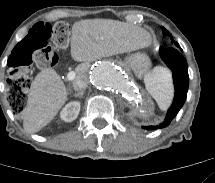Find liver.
I'll list each match as a JSON object with an SVG mask.
<instances>
[{
    "label": "liver",
    "instance_id": "liver-1",
    "mask_svg": "<svg viewBox=\"0 0 215 183\" xmlns=\"http://www.w3.org/2000/svg\"><path fill=\"white\" fill-rule=\"evenodd\" d=\"M152 37L136 25L111 19H87L72 26L71 56L83 62L77 78L85 75L90 62L102 57L136 51L151 45ZM68 90L56 71L47 68L31 83L23 127L36 133L49 124L67 101Z\"/></svg>",
    "mask_w": 215,
    "mask_h": 183
}]
</instances>
